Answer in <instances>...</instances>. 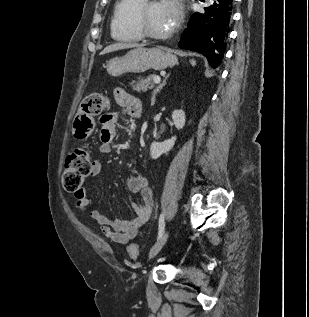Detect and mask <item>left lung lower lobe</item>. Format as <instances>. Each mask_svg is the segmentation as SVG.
I'll list each match as a JSON object with an SVG mask.
<instances>
[{
  "instance_id": "0a47b994",
  "label": "left lung lower lobe",
  "mask_w": 309,
  "mask_h": 317,
  "mask_svg": "<svg viewBox=\"0 0 309 317\" xmlns=\"http://www.w3.org/2000/svg\"><path fill=\"white\" fill-rule=\"evenodd\" d=\"M235 0H211L204 12L194 13L178 46L203 54L212 68L224 57Z\"/></svg>"
}]
</instances>
